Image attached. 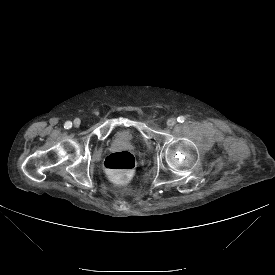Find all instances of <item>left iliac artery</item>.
<instances>
[{
  "instance_id": "44dca946",
  "label": "left iliac artery",
  "mask_w": 275,
  "mask_h": 275,
  "mask_svg": "<svg viewBox=\"0 0 275 275\" xmlns=\"http://www.w3.org/2000/svg\"><path fill=\"white\" fill-rule=\"evenodd\" d=\"M177 121L180 122V123H182V122L185 121V117H184V116H179V117L177 118Z\"/></svg>"
}]
</instances>
